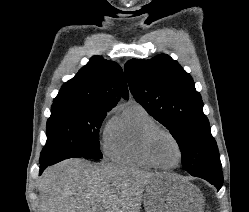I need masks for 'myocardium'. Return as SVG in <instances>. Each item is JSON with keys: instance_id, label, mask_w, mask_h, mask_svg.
I'll return each mask as SVG.
<instances>
[{"instance_id": "myocardium-1", "label": "myocardium", "mask_w": 249, "mask_h": 212, "mask_svg": "<svg viewBox=\"0 0 249 212\" xmlns=\"http://www.w3.org/2000/svg\"><path fill=\"white\" fill-rule=\"evenodd\" d=\"M160 135H166L169 138L172 139V141L175 143L177 149H178V153H179V158L177 163L172 164V165H167V164H163L161 163L155 156L154 154V150H153V144L154 141L156 140V138ZM143 149H144V153L146 155V157L148 158V160L155 165L158 168L161 169H174L177 168L181 163L182 160L184 158V150L183 147L180 143V141L178 140V138L168 129L166 128H162V127H154L151 128L145 135L144 137V141H143Z\"/></svg>"}]
</instances>
